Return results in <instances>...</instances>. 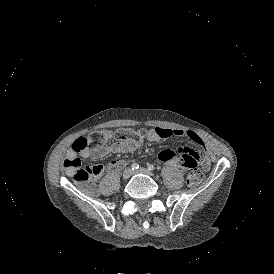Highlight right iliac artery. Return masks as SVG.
<instances>
[{
	"label": "right iliac artery",
	"mask_w": 274,
	"mask_h": 274,
	"mask_svg": "<svg viewBox=\"0 0 274 274\" xmlns=\"http://www.w3.org/2000/svg\"><path fill=\"white\" fill-rule=\"evenodd\" d=\"M139 168V165L137 164V163H133L132 165H131V169L132 170H137Z\"/></svg>",
	"instance_id": "1"
}]
</instances>
